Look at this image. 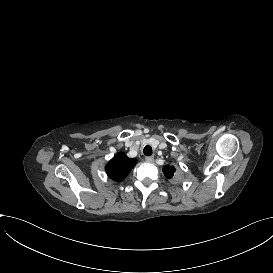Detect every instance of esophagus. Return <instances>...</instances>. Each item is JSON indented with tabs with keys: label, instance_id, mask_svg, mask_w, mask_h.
I'll return each instance as SVG.
<instances>
[{
	"label": "esophagus",
	"instance_id": "obj_1",
	"mask_svg": "<svg viewBox=\"0 0 273 273\" xmlns=\"http://www.w3.org/2000/svg\"><path fill=\"white\" fill-rule=\"evenodd\" d=\"M145 161L148 163H152L154 161V157L153 156H146Z\"/></svg>",
	"mask_w": 273,
	"mask_h": 273
}]
</instances>
